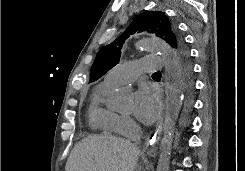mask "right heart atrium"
Here are the masks:
<instances>
[{
	"mask_svg": "<svg viewBox=\"0 0 245 171\" xmlns=\"http://www.w3.org/2000/svg\"><path fill=\"white\" fill-rule=\"evenodd\" d=\"M136 129L135 123L127 115H118L115 122V130L123 135H130Z\"/></svg>",
	"mask_w": 245,
	"mask_h": 171,
	"instance_id": "obj_1",
	"label": "right heart atrium"
}]
</instances>
